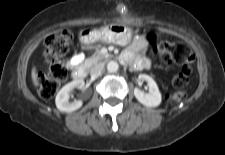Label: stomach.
Instances as JSON below:
<instances>
[{
	"label": "stomach",
	"instance_id": "1",
	"mask_svg": "<svg viewBox=\"0 0 225 155\" xmlns=\"http://www.w3.org/2000/svg\"><path fill=\"white\" fill-rule=\"evenodd\" d=\"M80 39L85 44L103 41L124 46L131 42L132 32L125 26L111 24L99 30H83Z\"/></svg>",
	"mask_w": 225,
	"mask_h": 155
}]
</instances>
